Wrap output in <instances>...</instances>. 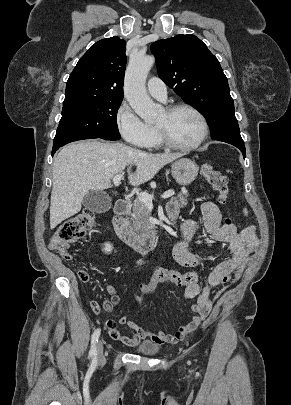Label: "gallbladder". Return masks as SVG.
Instances as JSON below:
<instances>
[{
  "mask_svg": "<svg viewBox=\"0 0 291 405\" xmlns=\"http://www.w3.org/2000/svg\"><path fill=\"white\" fill-rule=\"evenodd\" d=\"M83 205L96 213H105L111 208L112 203L107 193L91 190L85 195Z\"/></svg>",
  "mask_w": 291,
  "mask_h": 405,
  "instance_id": "gallbladder-1",
  "label": "gallbladder"
}]
</instances>
